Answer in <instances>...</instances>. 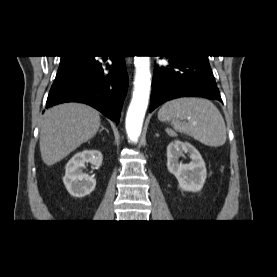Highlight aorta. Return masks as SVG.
Wrapping results in <instances>:
<instances>
[{
	"label": "aorta",
	"instance_id": "762f6f07",
	"mask_svg": "<svg viewBox=\"0 0 277 277\" xmlns=\"http://www.w3.org/2000/svg\"><path fill=\"white\" fill-rule=\"evenodd\" d=\"M134 65V89L131 103L127 111L125 126L130 141L137 143L142 131L143 120L145 117L150 95V57L135 56Z\"/></svg>",
	"mask_w": 277,
	"mask_h": 277
}]
</instances>
